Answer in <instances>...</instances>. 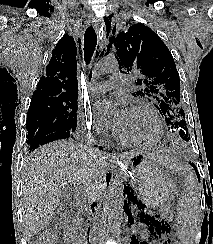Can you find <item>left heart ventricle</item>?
<instances>
[{"mask_svg": "<svg viewBox=\"0 0 213 244\" xmlns=\"http://www.w3.org/2000/svg\"><path fill=\"white\" fill-rule=\"evenodd\" d=\"M118 134L129 141H148L156 137L157 126L145 111H130L129 116L118 130Z\"/></svg>", "mask_w": 213, "mask_h": 244, "instance_id": "obj_1", "label": "left heart ventricle"}]
</instances>
